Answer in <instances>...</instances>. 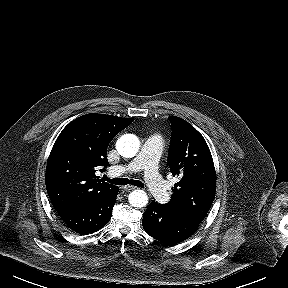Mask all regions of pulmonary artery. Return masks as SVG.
I'll return each instance as SVG.
<instances>
[{
	"mask_svg": "<svg viewBox=\"0 0 288 288\" xmlns=\"http://www.w3.org/2000/svg\"><path fill=\"white\" fill-rule=\"evenodd\" d=\"M163 140L160 135L150 136L143 144L140 153L130 163L112 168L116 174L143 171L145 183L149 191L161 203L169 198V190L158 171L159 159L162 153Z\"/></svg>",
	"mask_w": 288,
	"mask_h": 288,
	"instance_id": "e3ab8cb5",
	"label": "pulmonary artery"
}]
</instances>
